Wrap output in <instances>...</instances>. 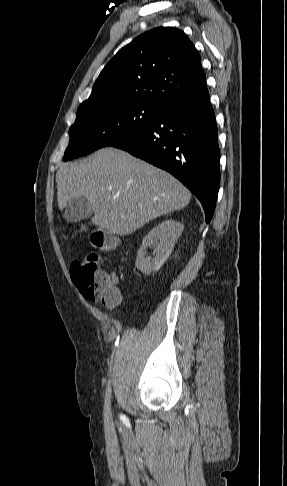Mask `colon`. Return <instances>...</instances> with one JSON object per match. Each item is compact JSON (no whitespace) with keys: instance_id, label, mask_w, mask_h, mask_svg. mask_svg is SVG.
<instances>
[{"instance_id":"1","label":"colon","mask_w":287,"mask_h":486,"mask_svg":"<svg viewBox=\"0 0 287 486\" xmlns=\"http://www.w3.org/2000/svg\"><path fill=\"white\" fill-rule=\"evenodd\" d=\"M79 230H85V226H79ZM90 241L97 250H112L117 244L113 235L100 228L90 232ZM74 285L88 300L113 307L120 303L121 292L115 285L112 276L100 266V258L97 254H90L81 261H75L70 268Z\"/></svg>"}]
</instances>
